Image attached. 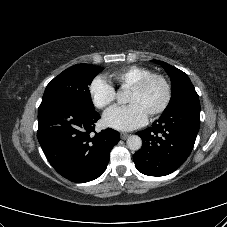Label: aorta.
<instances>
[{
  "label": "aorta",
  "instance_id": "aorta-1",
  "mask_svg": "<svg viewBox=\"0 0 227 227\" xmlns=\"http://www.w3.org/2000/svg\"><path fill=\"white\" fill-rule=\"evenodd\" d=\"M117 100L119 102H125L126 101V94L124 92L117 93ZM126 143H127V147L130 150H133V151L139 150L142 146V140L137 135L129 136Z\"/></svg>",
  "mask_w": 227,
  "mask_h": 227
}]
</instances>
